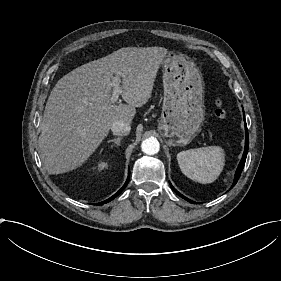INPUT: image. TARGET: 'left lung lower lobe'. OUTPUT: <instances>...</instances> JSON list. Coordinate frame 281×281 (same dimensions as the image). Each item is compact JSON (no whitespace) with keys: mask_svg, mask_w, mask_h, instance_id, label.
<instances>
[{"mask_svg":"<svg viewBox=\"0 0 281 281\" xmlns=\"http://www.w3.org/2000/svg\"><path fill=\"white\" fill-rule=\"evenodd\" d=\"M244 122H245V132H246L245 149H244V153H243L242 159H241V161H240V163L238 165V168L236 170L235 178H234V182H233L232 187L235 186V184L237 183V181H238V179H239V177L241 175V172H242V170L244 168V165H245V161H246V157H247V153H248V148H249V136H248V130H247V125H246L245 118H244ZM171 187L180 197H182L183 199L187 200L190 203L195 204V202L189 200L188 198H186L182 194H180L177 190H175V188L172 185H171Z\"/></svg>","mask_w":281,"mask_h":281,"instance_id":"1","label":"left lung lower lobe"}]
</instances>
